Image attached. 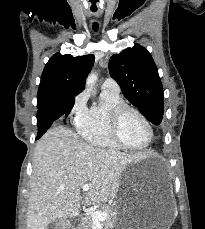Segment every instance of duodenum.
<instances>
[{
  "instance_id": "1",
  "label": "duodenum",
  "mask_w": 205,
  "mask_h": 229,
  "mask_svg": "<svg viewBox=\"0 0 205 229\" xmlns=\"http://www.w3.org/2000/svg\"><path fill=\"white\" fill-rule=\"evenodd\" d=\"M78 222H79V219H74V220H73V223H74V224H76V223H78Z\"/></svg>"
}]
</instances>
